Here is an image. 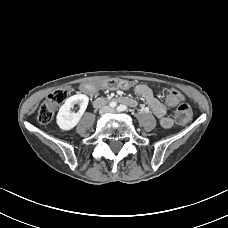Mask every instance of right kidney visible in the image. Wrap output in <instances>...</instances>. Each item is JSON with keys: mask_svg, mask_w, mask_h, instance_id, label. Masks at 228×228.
Segmentation results:
<instances>
[{"mask_svg": "<svg viewBox=\"0 0 228 228\" xmlns=\"http://www.w3.org/2000/svg\"><path fill=\"white\" fill-rule=\"evenodd\" d=\"M89 102L88 96L84 94H77L69 97L65 103L60 107L56 117L57 125L61 130L67 131L73 129L80 121ZM75 104H79L78 112H71V108Z\"/></svg>", "mask_w": 228, "mask_h": 228, "instance_id": "right-kidney-1", "label": "right kidney"}]
</instances>
